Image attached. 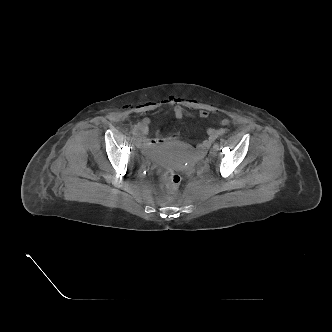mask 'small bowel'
I'll return each instance as SVG.
<instances>
[{
    "label": "small bowel",
    "mask_w": 332,
    "mask_h": 332,
    "mask_svg": "<svg viewBox=\"0 0 332 332\" xmlns=\"http://www.w3.org/2000/svg\"><path fill=\"white\" fill-rule=\"evenodd\" d=\"M168 105L173 108V113L176 119H183L185 117L192 116L186 108L184 107V101L178 97L170 96L165 100L151 103L148 105L149 109H156L160 106ZM199 118L205 119L208 117V112L205 110L199 111L198 115ZM230 120L229 118L225 117L219 121V127H209L206 130L207 139H205L202 143L198 145V152L200 154L204 153L210 145L221 135H223L227 131V126L229 125ZM151 124V120L149 118H143L136 126L137 130L143 136H146L149 132V127ZM163 143V139L157 138L155 140H149L148 138H144L143 141V150L146 153H151L153 149L157 148Z\"/></svg>",
    "instance_id": "c3829d8e"
}]
</instances>
